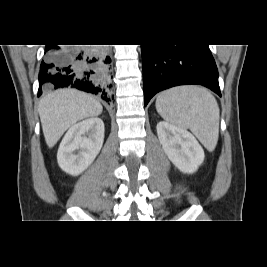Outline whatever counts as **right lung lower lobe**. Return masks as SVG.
Instances as JSON below:
<instances>
[{"label": "right lung lower lobe", "instance_id": "1", "mask_svg": "<svg viewBox=\"0 0 267 267\" xmlns=\"http://www.w3.org/2000/svg\"><path fill=\"white\" fill-rule=\"evenodd\" d=\"M110 63L105 47L79 50L47 45L40 66L38 96L42 90L70 87L111 101Z\"/></svg>", "mask_w": 267, "mask_h": 267}]
</instances>
